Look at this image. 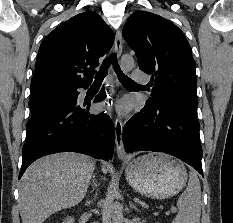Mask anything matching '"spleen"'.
<instances>
[{
	"mask_svg": "<svg viewBox=\"0 0 233 223\" xmlns=\"http://www.w3.org/2000/svg\"><path fill=\"white\" fill-rule=\"evenodd\" d=\"M201 187L197 173L191 171L188 185L181 193L177 205L178 213L172 223H200Z\"/></svg>",
	"mask_w": 233,
	"mask_h": 223,
	"instance_id": "1",
	"label": "spleen"
}]
</instances>
